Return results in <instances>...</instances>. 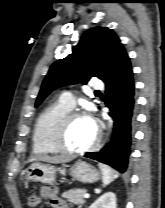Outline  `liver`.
<instances>
[{
	"label": "liver",
	"instance_id": "6515ba94",
	"mask_svg": "<svg viewBox=\"0 0 165 208\" xmlns=\"http://www.w3.org/2000/svg\"><path fill=\"white\" fill-rule=\"evenodd\" d=\"M73 158L71 157H64V156H36L30 159V161H44L48 163L54 164H62L66 162H70Z\"/></svg>",
	"mask_w": 165,
	"mask_h": 208
}]
</instances>
